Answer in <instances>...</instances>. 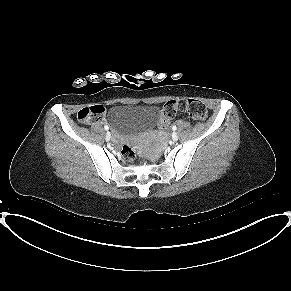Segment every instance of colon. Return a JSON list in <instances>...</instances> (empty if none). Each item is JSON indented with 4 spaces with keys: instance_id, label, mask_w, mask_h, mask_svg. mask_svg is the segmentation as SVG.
I'll use <instances>...</instances> for the list:
<instances>
[{
    "instance_id": "colon-1",
    "label": "colon",
    "mask_w": 291,
    "mask_h": 291,
    "mask_svg": "<svg viewBox=\"0 0 291 291\" xmlns=\"http://www.w3.org/2000/svg\"><path fill=\"white\" fill-rule=\"evenodd\" d=\"M178 113H187L195 120L203 121L207 118V110L205 105L197 99H176L168 101L162 108L161 120L158 127L165 130L168 127L170 119ZM105 110L101 105H92L80 109L77 118L81 122L102 121L104 119ZM124 161H131L134 158V152L131 146L124 145L121 150Z\"/></svg>"
}]
</instances>
